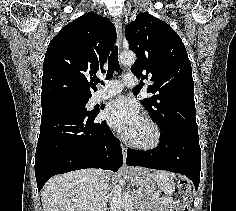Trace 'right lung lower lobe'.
<instances>
[{"label": "right lung lower lobe", "mask_w": 236, "mask_h": 211, "mask_svg": "<svg viewBox=\"0 0 236 211\" xmlns=\"http://www.w3.org/2000/svg\"><path fill=\"white\" fill-rule=\"evenodd\" d=\"M97 114L42 112L35 153L38 191L56 174L84 168L117 171L122 166L119 141L105 121L94 123Z\"/></svg>", "instance_id": "obj_1"}]
</instances>
